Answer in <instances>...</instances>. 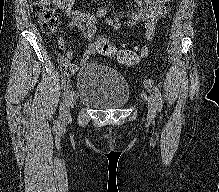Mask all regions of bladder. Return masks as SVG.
Here are the masks:
<instances>
[{
    "mask_svg": "<svg viewBox=\"0 0 219 192\" xmlns=\"http://www.w3.org/2000/svg\"><path fill=\"white\" fill-rule=\"evenodd\" d=\"M77 99L95 109H119L130 99L126 79L114 69L98 63L82 66L76 76Z\"/></svg>",
    "mask_w": 219,
    "mask_h": 192,
    "instance_id": "obj_1",
    "label": "bladder"
}]
</instances>
